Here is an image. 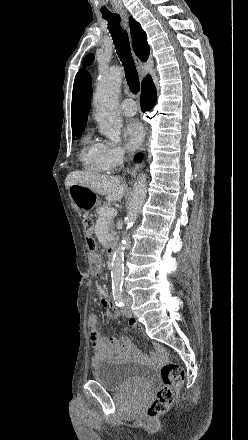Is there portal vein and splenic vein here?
Returning <instances> with one entry per match:
<instances>
[{
  "label": "portal vein and splenic vein",
  "instance_id": "portal-vein-and-splenic-vein-1",
  "mask_svg": "<svg viewBox=\"0 0 248 440\" xmlns=\"http://www.w3.org/2000/svg\"><path fill=\"white\" fill-rule=\"evenodd\" d=\"M116 215H117L116 209L109 207V208H106V209L102 210L100 219L108 220V219L113 218Z\"/></svg>",
  "mask_w": 248,
  "mask_h": 440
}]
</instances>
